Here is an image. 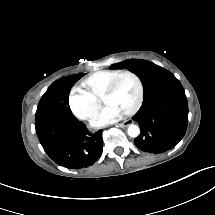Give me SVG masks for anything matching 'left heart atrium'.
Returning <instances> with one entry per match:
<instances>
[{"label": "left heart atrium", "mask_w": 215, "mask_h": 215, "mask_svg": "<svg viewBox=\"0 0 215 215\" xmlns=\"http://www.w3.org/2000/svg\"><path fill=\"white\" fill-rule=\"evenodd\" d=\"M123 114V108L116 102H111L99 112L98 121L108 122L121 117Z\"/></svg>", "instance_id": "obj_1"}]
</instances>
